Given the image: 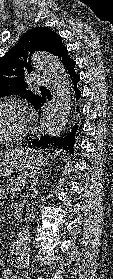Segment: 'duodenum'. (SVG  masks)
Returning <instances> with one entry per match:
<instances>
[{
	"label": "duodenum",
	"instance_id": "duodenum-1",
	"mask_svg": "<svg viewBox=\"0 0 113 279\" xmlns=\"http://www.w3.org/2000/svg\"><path fill=\"white\" fill-rule=\"evenodd\" d=\"M14 218L15 219H19L22 215V206L21 205H17L15 208H14Z\"/></svg>",
	"mask_w": 113,
	"mask_h": 279
}]
</instances>
